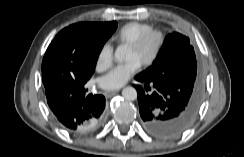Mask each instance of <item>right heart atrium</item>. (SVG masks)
Listing matches in <instances>:
<instances>
[{
	"instance_id": "1",
	"label": "right heart atrium",
	"mask_w": 244,
	"mask_h": 157,
	"mask_svg": "<svg viewBox=\"0 0 244 157\" xmlns=\"http://www.w3.org/2000/svg\"><path fill=\"white\" fill-rule=\"evenodd\" d=\"M113 64V46L110 42H104L96 57L95 67L98 72L108 70Z\"/></svg>"
}]
</instances>
